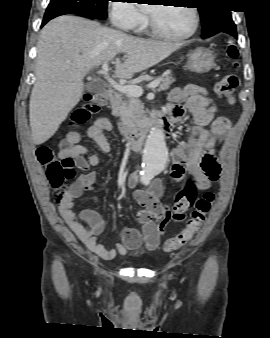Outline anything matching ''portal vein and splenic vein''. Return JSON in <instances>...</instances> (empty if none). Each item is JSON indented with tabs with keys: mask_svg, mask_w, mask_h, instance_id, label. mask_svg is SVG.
<instances>
[{
	"mask_svg": "<svg viewBox=\"0 0 270 338\" xmlns=\"http://www.w3.org/2000/svg\"><path fill=\"white\" fill-rule=\"evenodd\" d=\"M109 64L108 62H104L102 66V74L104 78L110 83V85L117 91L125 93L127 95L135 96V97H140L143 94V89L140 86L137 85H121L114 81L109 75ZM161 80L156 79L152 82H150L147 87L149 89H154L160 84Z\"/></svg>",
	"mask_w": 270,
	"mask_h": 338,
	"instance_id": "18ae733b",
	"label": "portal vein and splenic vein"
}]
</instances>
